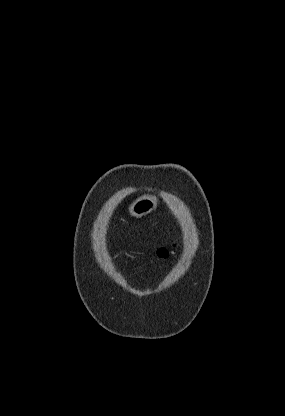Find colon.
Masks as SVG:
<instances>
[{
    "mask_svg": "<svg viewBox=\"0 0 285 416\" xmlns=\"http://www.w3.org/2000/svg\"><path fill=\"white\" fill-rule=\"evenodd\" d=\"M157 255L160 258H167L168 255H169V250L165 247H161V248L158 249Z\"/></svg>",
    "mask_w": 285,
    "mask_h": 416,
    "instance_id": "obj_1",
    "label": "colon"
}]
</instances>
